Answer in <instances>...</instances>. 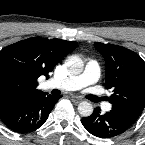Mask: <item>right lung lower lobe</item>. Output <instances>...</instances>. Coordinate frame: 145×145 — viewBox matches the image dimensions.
<instances>
[{
  "instance_id": "right-lung-lower-lobe-1",
  "label": "right lung lower lobe",
  "mask_w": 145,
  "mask_h": 145,
  "mask_svg": "<svg viewBox=\"0 0 145 145\" xmlns=\"http://www.w3.org/2000/svg\"><path fill=\"white\" fill-rule=\"evenodd\" d=\"M58 99L46 93L35 99L2 106L0 120L14 132H32L45 123Z\"/></svg>"
}]
</instances>
